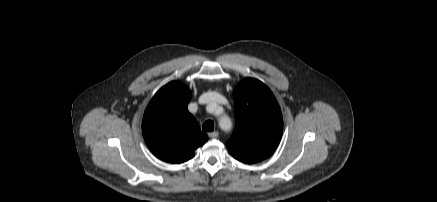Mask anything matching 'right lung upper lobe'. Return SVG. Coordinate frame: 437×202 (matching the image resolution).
<instances>
[{"instance_id":"1","label":"right lung upper lobe","mask_w":437,"mask_h":202,"mask_svg":"<svg viewBox=\"0 0 437 202\" xmlns=\"http://www.w3.org/2000/svg\"><path fill=\"white\" fill-rule=\"evenodd\" d=\"M190 99L189 88L173 81L154 95L145 110L143 137L152 153L165 162L188 161L208 140L187 109Z\"/></svg>"}]
</instances>
